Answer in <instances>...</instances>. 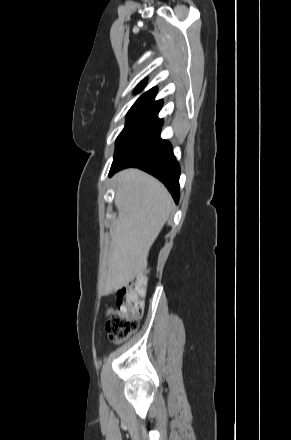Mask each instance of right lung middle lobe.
<instances>
[{
  "label": "right lung middle lobe",
  "instance_id": "obj_1",
  "mask_svg": "<svg viewBox=\"0 0 291 440\" xmlns=\"http://www.w3.org/2000/svg\"><path fill=\"white\" fill-rule=\"evenodd\" d=\"M152 104H153L152 101H137L130 108L127 114V121L125 127L116 139V149L114 156L119 152L123 144L130 137V135L133 133L136 127L139 125V123L146 115Z\"/></svg>",
  "mask_w": 291,
  "mask_h": 440
}]
</instances>
